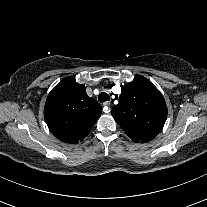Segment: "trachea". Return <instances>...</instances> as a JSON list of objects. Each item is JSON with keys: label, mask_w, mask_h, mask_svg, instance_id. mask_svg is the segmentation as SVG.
<instances>
[{"label": "trachea", "mask_w": 207, "mask_h": 207, "mask_svg": "<svg viewBox=\"0 0 207 207\" xmlns=\"http://www.w3.org/2000/svg\"><path fill=\"white\" fill-rule=\"evenodd\" d=\"M98 100H99V102L102 103V102H105V101H109L110 97L107 93L102 92V93L99 94Z\"/></svg>", "instance_id": "trachea-1"}]
</instances>
